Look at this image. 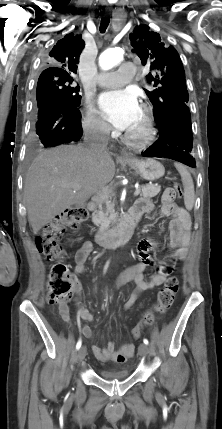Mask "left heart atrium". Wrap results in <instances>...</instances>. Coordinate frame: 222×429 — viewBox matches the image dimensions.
I'll list each match as a JSON object with an SVG mask.
<instances>
[{"mask_svg": "<svg viewBox=\"0 0 222 429\" xmlns=\"http://www.w3.org/2000/svg\"><path fill=\"white\" fill-rule=\"evenodd\" d=\"M98 105L102 116L122 131L129 130L135 124L141 111L136 94L127 89L102 93Z\"/></svg>", "mask_w": 222, "mask_h": 429, "instance_id": "39dd6f15", "label": "left heart atrium"}]
</instances>
